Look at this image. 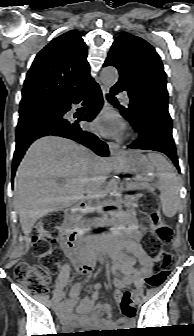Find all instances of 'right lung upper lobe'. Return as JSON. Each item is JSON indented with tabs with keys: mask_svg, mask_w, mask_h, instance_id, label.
Returning <instances> with one entry per match:
<instances>
[{
	"mask_svg": "<svg viewBox=\"0 0 194 336\" xmlns=\"http://www.w3.org/2000/svg\"><path fill=\"white\" fill-rule=\"evenodd\" d=\"M86 58V44L76 31L53 39L26 75L20 109L50 107L91 81Z\"/></svg>",
	"mask_w": 194,
	"mask_h": 336,
	"instance_id": "right-lung-upper-lobe-1",
	"label": "right lung upper lobe"
}]
</instances>
